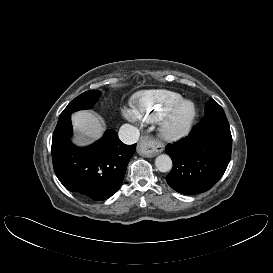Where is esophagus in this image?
I'll list each match as a JSON object with an SVG mask.
<instances>
[{
  "mask_svg": "<svg viewBox=\"0 0 273 273\" xmlns=\"http://www.w3.org/2000/svg\"><path fill=\"white\" fill-rule=\"evenodd\" d=\"M163 150V144L152 139L148 135L141 136L137 146V152L145 157H154L161 153Z\"/></svg>",
  "mask_w": 273,
  "mask_h": 273,
  "instance_id": "esophagus-1",
  "label": "esophagus"
}]
</instances>
